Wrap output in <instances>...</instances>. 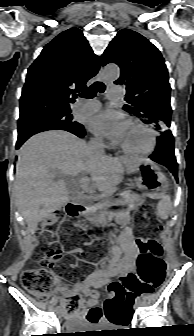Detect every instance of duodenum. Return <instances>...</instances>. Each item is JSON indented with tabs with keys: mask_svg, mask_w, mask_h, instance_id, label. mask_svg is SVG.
Here are the masks:
<instances>
[{
	"mask_svg": "<svg viewBox=\"0 0 194 336\" xmlns=\"http://www.w3.org/2000/svg\"><path fill=\"white\" fill-rule=\"evenodd\" d=\"M88 209L87 206L80 203L68 204L67 211L70 216L76 217L84 214Z\"/></svg>",
	"mask_w": 194,
	"mask_h": 336,
	"instance_id": "duodenum-1",
	"label": "duodenum"
}]
</instances>
